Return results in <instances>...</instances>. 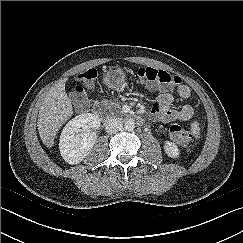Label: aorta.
Here are the masks:
<instances>
[{"instance_id": "aorta-1", "label": "aorta", "mask_w": 243, "mask_h": 243, "mask_svg": "<svg viewBox=\"0 0 243 243\" xmlns=\"http://www.w3.org/2000/svg\"><path fill=\"white\" fill-rule=\"evenodd\" d=\"M124 128L127 131H133L134 128H135V122H134V120L133 119H129V120L125 121Z\"/></svg>"}]
</instances>
